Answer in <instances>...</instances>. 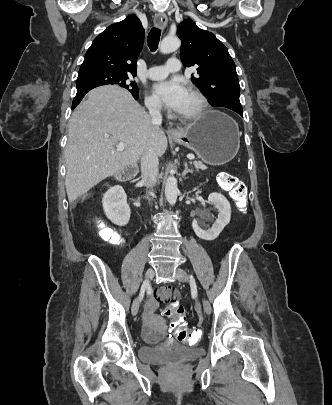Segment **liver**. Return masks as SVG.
Masks as SVG:
<instances>
[{
  "instance_id": "liver-1",
  "label": "liver",
  "mask_w": 332,
  "mask_h": 405,
  "mask_svg": "<svg viewBox=\"0 0 332 405\" xmlns=\"http://www.w3.org/2000/svg\"><path fill=\"white\" fill-rule=\"evenodd\" d=\"M121 142L125 148L117 152ZM148 144L161 157L168 146L167 137L128 91L117 86L92 89L69 123L65 149L69 202L136 164Z\"/></svg>"
}]
</instances>
